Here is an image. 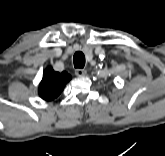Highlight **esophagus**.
<instances>
[{
	"label": "esophagus",
	"mask_w": 165,
	"mask_h": 156,
	"mask_svg": "<svg viewBox=\"0 0 165 156\" xmlns=\"http://www.w3.org/2000/svg\"><path fill=\"white\" fill-rule=\"evenodd\" d=\"M87 73V71L85 69H76L75 70V74L78 76V77H83L85 76Z\"/></svg>",
	"instance_id": "1"
}]
</instances>
